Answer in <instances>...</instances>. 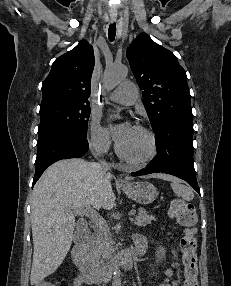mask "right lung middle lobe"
I'll return each instance as SVG.
<instances>
[{
    "label": "right lung middle lobe",
    "mask_w": 231,
    "mask_h": 286,
    "mask_svg": "<svg viewBox=\"0 0 231 286\" xmlns=\"http://www.w3.org/2000/svg\"><path fill=\"white\" fill-rule=\"evenodd\" d=\"M38 142L56 134L74 133L87 136L89 103L54 102L40 106Z\"/></svg>",
    "instance_id": "obj_1"
}]
</instances>
